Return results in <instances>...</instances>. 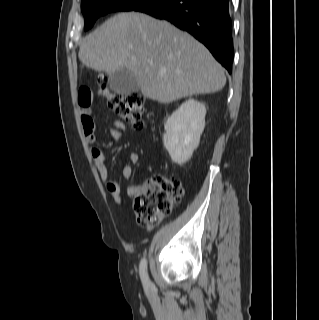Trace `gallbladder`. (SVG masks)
I'll list each match as a JSON object with an SVG mask.
<instances>
[{"label":"gallbladder","mask_w":319,"mask_h":320,"mask_svg":"<svg viewBox=\"0 0 319 320\" xmlns=\"http://www.w3.org/2000/svg\"><path fill=\"white\" fill-rule=\"evenodd\" d=\"M109 88L121 95H130L139 91L137 79L128 69H121L108 76Z\"/></svg>","instance_id":"obj_1"}]
</instances>
